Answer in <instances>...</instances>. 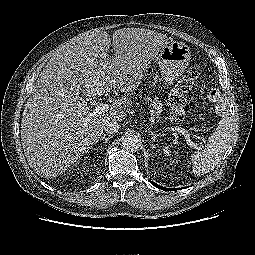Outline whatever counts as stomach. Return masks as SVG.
<instances>
[{
  "label": "stomach",
  "mask_w": 255,
  "mask_h": 255,
  "mask_svg": "<svg viewBox=\"0 0 255 255\" xmlns=\"http://www.w3.org/2000/svg\"><path fill=\"white\" fill-rule=\"evenodd\" d=\"M191 59L188 45L183 42L169 41L164 44L155 61L161 70V77L166 85L173 81L185 71Z\"/></svg>",
  "instance_id": "obj_1"
}]
</instances>
